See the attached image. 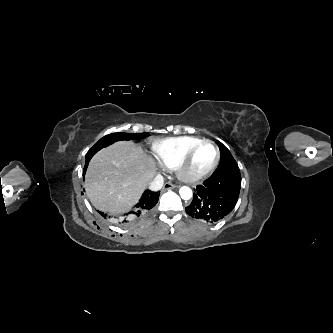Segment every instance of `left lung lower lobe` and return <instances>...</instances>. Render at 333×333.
Segmentation results:
<instances>
[{
    "mask_svg": "<svg viewBox=\"0 0 333 333\" xmlns=\"http://www.w3.org/2000/svg\"><path fill=\"white\" fill-rule=\"evenodd\" d=\"M241 188L238 165L217 169L196 187L191 204L185 208L195 219L213 223L223 219L235 207Z\"/></svg>",
    "mask_w": 333,
    "mask_h": 333,
    "instance_id": "0a47b994",
    "label": "left lung lower lobe"
}]
</instances>
